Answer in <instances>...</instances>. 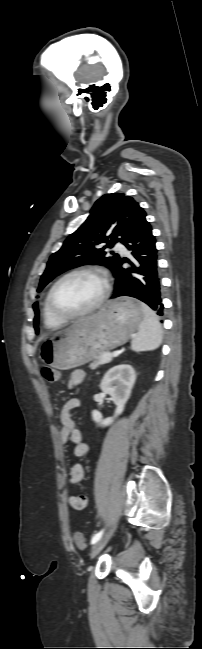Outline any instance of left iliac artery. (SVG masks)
I'll return each instance as SVG.
<instances>
[{"mask_svg":"<svg viewBox=\"0 0 202 649\" xmlns=\"http://www.w3.org/2000/svg\"><path fill=\"white\" fill-rule=\"evenodd\" d=\"M102 534H103V530L96 533L91 539V544H95L102 537Z\"/></svg>","mask_w":202,"mask_h":649,"instance_id":"left-iliac-artery-1","label":"left iliac artery"}]
</instances>
